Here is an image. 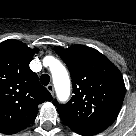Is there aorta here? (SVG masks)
I'll return each mask as SVG.
<instances>
[{
  "instance_id": "obj_1",
  "label": "aorta",
  "mask_w": 136,
  "mask_h": 136,
  "mask_svg": "<svg viewBox=\"0 0 136 136\" xmlns=\"http://www.w3.org/2000/svg\"><path fill=\"white\" fill-rule=\"evenodd\" d=\"M50 72L58 99L67 101L70 96V79L66 68L60 61L51 58Z\"/></svg>"
}]
</instances>
